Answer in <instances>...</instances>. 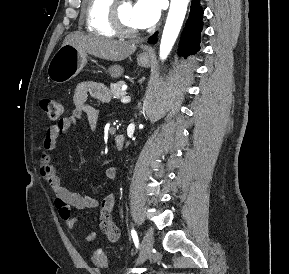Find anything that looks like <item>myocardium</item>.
Returning a JSON list of instances; mask_svg holds the SVG:
<instances>
[{"mask_svg":"<svg viewBox=\"0 0 289 274\" xmlns=\"http://www.w3.org/2000/svg\"><path fill=\"white\" fill-rule=\"evenodd\" d=\"M122 1L120 0H114V3L111 6V12H110V21L111 26L116 32V34L123 36V37H135L139 34L138 29H132L124 24V22L121 19L120 12H119V6Z\"/></svg>","mask_w":289,"mask_h":274,"instance_id":"obj_1","label":"myocardium"}]
</instances>
